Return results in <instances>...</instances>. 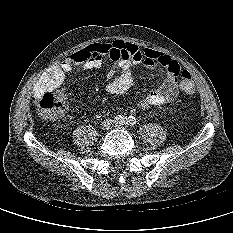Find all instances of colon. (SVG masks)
Segmentation results:
<instances>
[{
  "instance_id": "5ec220e1",
  "label": "colon",
  "mask_w": 233,
  "mask_h": 233,
  "mask_svg": "<svg viewBox=\"0 0 233 233\" xmlns=\"http://www.w3.org/2000/svg\"><path fill=\"white\" fill-rule=\"evenodd\" d=\"M181 89L187 93L192 94L195 91V84L191 74L184 70L179 77ZM33 100L39 108L41 114L47 118L59 117L66 108V99L62 93L43 92L34 94Z\"/></svg>"
}]
</instances>
